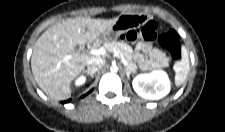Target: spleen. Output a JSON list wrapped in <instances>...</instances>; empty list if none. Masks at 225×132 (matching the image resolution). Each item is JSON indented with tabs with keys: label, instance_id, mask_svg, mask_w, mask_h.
Instances as JSON below:
<instances>
[{
	"label": "spleen",
	"instance_id": "spleen-1",
	"mask_svg": "<svg viewBox=\"0 0 225 132\" xmlns=\"http://www.w3.org/2000/svg\"><path fill=\"white\" fill-rule=\"evenodd\" d=\"M181 55H182L181 61L176 62L174 64V70H175L174 79H175L176 86H180L185 82L190 70L188 52L185 47L181 48Z\"/></svg>",
	"mask_w": 225,
	"mask_h": 132
}]
</instances>
